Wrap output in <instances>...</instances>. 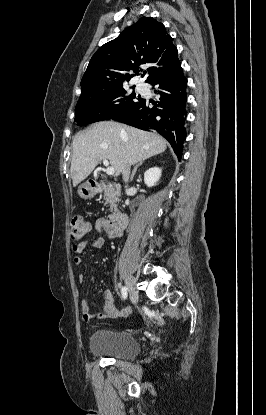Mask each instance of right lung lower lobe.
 Masks as SVG:
<instances>
[{"mask_svg": "<svg viewBox=\"0 0 266 415\" xmlns=\"http://www.w3.org/2000/svg\"><path fill=\"white\" fill-rule=\"evenodd\" d=\"M150 84L157 86L154 92L160 95L159 101L153 103L154 107H150L146 99H141L112 119L145 131L158 132L169 141L180 159L186 139L187 79L179 65L171 72L156 77Z\"/></svg>", "mask_w": 266, "mask_h": 415, "instance_id": "1", "label": "right lung lower lobe"}]
</instances>
